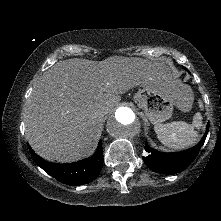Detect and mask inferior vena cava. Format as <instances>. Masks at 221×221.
<instances>
[{
    "label": "inferior vena cava",
    "instance_id": "1",
    "mask_svg": "<svg viewBox=\"0 0 221 221\" xmlns=\"http://www.w3.org/2000/svg\"><path fill=\"white\" fill-rule=\"evenodd\" d=\"M106 112H107V109L104 107L98 110L97 115L102 118L106 114Z\"/></svg>",
    "mask_w": 221,
    "mask_h": 221
}]
</instances>
